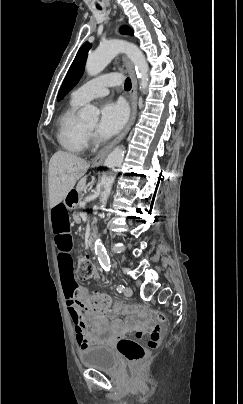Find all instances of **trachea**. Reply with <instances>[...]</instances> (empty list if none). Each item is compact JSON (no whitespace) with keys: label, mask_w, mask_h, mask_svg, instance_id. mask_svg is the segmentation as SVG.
Wrapping results in <instances>:
<instances>
[{"label":"trachea","mask_w":243,"mask_h":404,"mask_svg":"<svg viewBox=\"0 0 243 404\" xmlns=\"http://www.w3.org/2000/svg\"><path fill=\"white\" fill-rule=\"evenodd\" d=\"M96 8L102 10L101 7H96ZM131 87H132L131 80H130L129 78H127L126 81H125V83H124V89H125V90H130Z\"/></svg>","instance_id":"3493384b"}]
</instances>
